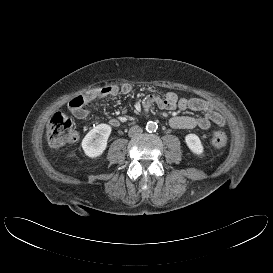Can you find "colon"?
Returning a JSON list of instances; mask_svg holds the SVG:
<instances>
[{"label": "colon", "instance_id": "1", "mask_svg": "<svg viewBox=\"0 0 273 273\" xmlns=\"http://www.w3.org/2000/svg\"><path fill=\"white\" fill-rule=\"evenodd\" d=\"M84 96H78L72 99L74 106L82 104ZM46 137L52 146H61L72 142L76 139L77 133L74 129L73 122L65 113L55 112L48 123ZM212 144L217 148H224L228 145V138L222 131H215L211 137Z\"/></svg>", "mask_w": 273, "mask_h": 273}]
</instances>
